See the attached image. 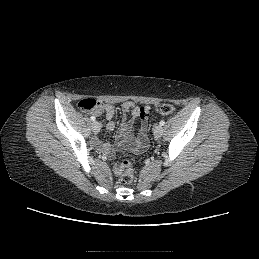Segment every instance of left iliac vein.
Listing matches in <instances>:
<instances>
[{
	"label": "left iliac vein",
	"instance_id": "1",
	"mask_svg": "<svg viewBox=\"0 0 259 259\" xmlns=\"http://www.w3.org/2000/svg\"><path fill=\"white\" fill-rule=\"evenodd\" d=\"M153 134L155 136V138H160L163 134V128L160 125L155 126L154 130H153Z\"/></svg>",
	"mask_w": 259,
	"mask_h": 259
}]
</instances>
